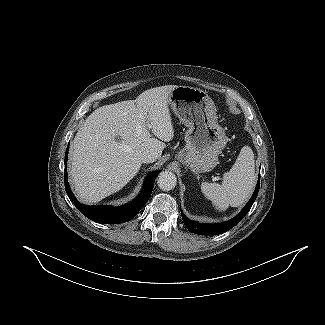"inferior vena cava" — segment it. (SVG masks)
I'll list each match as a JSON object with an SVG mask.
<instances>
[{
  "mask_svg": "<svg viewBox=\"0 0 325 325\" xmlns=\"http://www.w3.org/2000/svg\"><path fill=\"white\" fill-rule=\"evenodd\" d=\"M142 163H152L158 159V154L153 150H146L140 156Z\"/></svg>",
  "mask_w": 325,
  "mask_h": 325,
  "instance_id": "1",
  "label": "inferior vena cava"
}]
</instances>
